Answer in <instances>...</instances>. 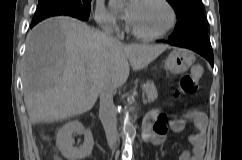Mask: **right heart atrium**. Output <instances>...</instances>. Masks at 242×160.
<instances>
[{"instance_id":"right-heart-atrium-1","label":"right heart atrium","mask_w":242,"mask_h":160,"mask_svg":"<svg viewBox=\"0 0 242 160\" xmlns=\"http://www.w3.org/2000/svg\"><path fill=\"white\" fill-rule=\"evenodd\" d=\"M95 19L103 29H115L118 26L116 16L105 6L103 0H98L95 11Z\"/></svg>"}]
</instances>
